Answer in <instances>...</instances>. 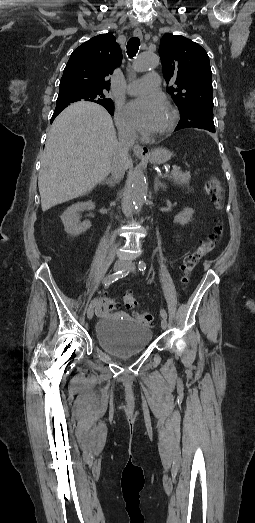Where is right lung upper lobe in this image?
<instances>
[{
  "mask_svg": "<svg viewBox=\"0 0 255 523\" xmlns=\"http://www.w3.org/2000/svg\"><path fill=\"white\" fill-rule=\"evenodd\" d=\"M122 53L115 36L100 34L76 48L64 69L60 90L79 89L107 93L110 89L108 76L118 67ZM70 102L56 104L51 121L66 108ZM111 115L114 114L112 100L99 102Z\"/></svg>",
  "mask_w": 255,
  "mask_h": 523,
  "instance_id": "cb5924a9",
  "label": "right lung upper lobe"
}]
</instances>
